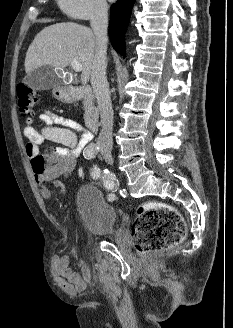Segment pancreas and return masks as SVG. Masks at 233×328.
Here are the masks:
<instances>
[{
  "instance_id": "cf45deb5",
  "label": "pancreas",
  "mask_w": 233,
  "mask_h": 328,
  "mask_svg": "<svg viewBox=\"0 0 233 328\" xmlns=\"http://www.w3.org/2000/svg\"><path fill=\"white\" fill-rule=\"evenodd\" d=\"M83 109L86 110H93L96 111V108L94 107V105L89 101V99L87 97L83 98Z\"/></svg>"
}]
</instances>
